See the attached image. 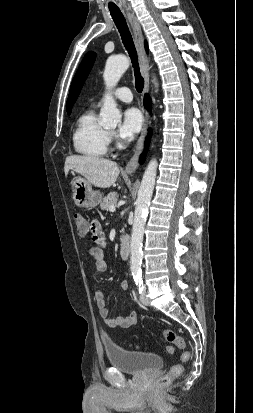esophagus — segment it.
<instances>
[{
  "instance_id": "esophagus-1",
  "label": "esophagus",
  "mask_w": 253,
  "mask_h": 413,
  "mask_svg": "<svg viewBox=\"0 0 253 413\" xmlns=\"http://www.w3.org/2000/svg\"><path fill=\"white\" fill-rule=\"evenodd\" d=\"M127 17L130 22L131 28L133 30L134 39H135L136 47H137L138 54H139L141 72L144 77V93H147L149 91V74H148L149 61H148V57H147V54L144 48V36L142 33L141 25L137 17L134 15V13H128ZM149 122H150L149 113L146 111L145 112V123H144L141 136L139 137L134 153L125 168V171L127 173H133L138 166V160H139V156L143 149L144 140L146 137Z\"/></svg>"
}]
</instances>
